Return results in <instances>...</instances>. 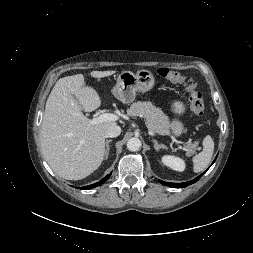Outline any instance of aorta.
<instances>
[{"label": "aorta", "mask_w": 253, "mask_h": 253, "mask_svg": "<svg viewBox=\"0 0 253 253\" xmlns=\"http://www.w3.org/2000/svg\"><path fill=\"white\" fill-rule=\"evenodd\" d=\"M141 145L142 143L139 138L133 137L127 141V149L132 152L138 151L141 148Z\"/></svg>", "instance_id": "aorta-1"}]
</instances>
